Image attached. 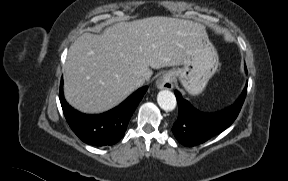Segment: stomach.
Wrapping results in <instances>:
<instances>
[{"label": "stomach", "instance_id": "0dacf381", "mask_svg": "<svg viewBox=\"0 0 288 181\" xmlns=\"http://www.w3.org/2000/svg\"><path fill=\"white\" fill-rule=\"evenodd\" d=\"M218 54L209 41L206 30L201 26L200 34L189 46L182 68L169 71L177 77L188 93L200 94L209 79L218 70Z\"/></svg>", "mask_w": 288, "mask_h": 181}]
</instances>
